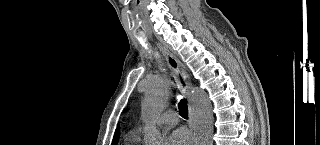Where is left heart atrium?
<instances>
[{"label":"left heart atrium","mask_w":320,"mask_h":145,"mask_svg":"<svg viewBox=\"0 0 320 145\" xmlns=\"http://www.w3.org/2000/svg\"><path fill=\"white\" fill-rule=\"evenodd\" d=\"M169 145H190L191 137L184 129L175 130L168 139Z\"/></svg>","instance_id":"39dd6f15"}]
</instances>
